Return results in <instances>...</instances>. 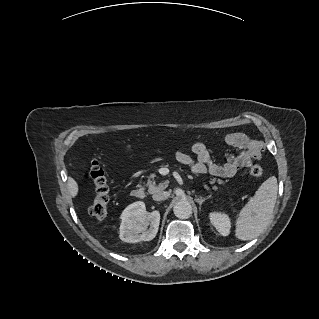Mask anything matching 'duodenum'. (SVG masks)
I'll return each instance as SVG.
<instances>
[{
  "label": "duodenum",
  "mask_w": 319,
  "mask_h": 319,
  "mask_svg": "<svg viewBox=\"0 0 319 319\" xmlns=\"http://www.w3.org/2000/svg\"><path fill=\"white\" fill-rule=\"evenodd\" d=\"M131 195L135 199H143L145 197V190L143 188H135L132 190Z\"/></svg>",
  "instance_id": "410a0bca"
}]
</instances>
